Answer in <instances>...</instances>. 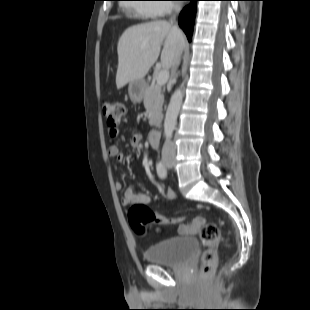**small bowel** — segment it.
<instances>
[{
    "label": "small bowel",
    "instance_id": "1",
    "mask_svg": "<svg viewBox=\"0 0 310 310\" xmlns=\"http://www.w3.org/2000/svg\"><path fill=\"white\" fill-rule=\"evenodd\" d=\"M122 131L118 127H109V134L112 138L120 136ZM129 143L132 146V148L135 151L136 157H139L141 154V149H142V136L140 135L139 132L136 130H131V134L129 137ZM108 153L111 157L115 158L118 162H123L125 160V155L124 153L116 146L115 144H112L108 148ZM117 189L122 188V183L121 182H116L115 184ZM176 198V193L174 192L173 189L167 188L164 192V199L165 200H173ZM151 197L148 194L141 193L136 191L133 187H128L124 195L122 197L121 203L123 206H130L135 203H150ZM197 218L194 222L193 225H183L180 226L178 229L179 234L181 235H190L194 232V229L197 223Z\"/></svg>",
    "mask_w": 310,
    "mask_h": 310
}]
</instances>
